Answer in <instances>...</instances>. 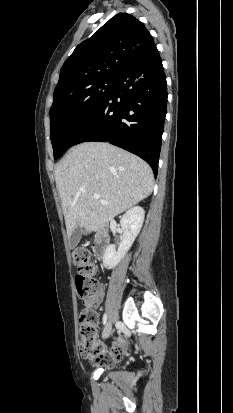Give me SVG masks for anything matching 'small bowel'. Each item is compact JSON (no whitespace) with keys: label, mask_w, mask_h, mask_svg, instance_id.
I'll return each instance as SVG.
<instances>
[{"label":"small bowel","mask_w":233,"mask_h":413,"mask_svg":"<svg viewBox=\"0 0 233 413\" xmlns=\"http://www.w3.org/2000/svg\"><path fill=\"white\" fill-rule=\"evenodd\" d=\"M104 297V287L103 285H99L97 290L88 298H84L83 304L88 305L90 303H93L95 305H98ZM122 354V341L121 340H116L114 343L113 347L109 350H106L104 348H100V356L101 357H112L116 358L117 356H121ZM116 359L113 360V362Z\"/></svg>","instance_id":"c3829d8e"}]
</instances>
